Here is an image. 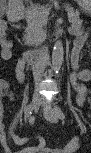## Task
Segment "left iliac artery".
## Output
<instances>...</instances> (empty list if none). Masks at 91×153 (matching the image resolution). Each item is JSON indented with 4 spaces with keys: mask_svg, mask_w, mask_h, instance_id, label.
Listing matches in <instances>:
<instances>
[{
    "mask_svg": "<svg viewBox=\"0 0 91 153\" xmlns=\"http://www.w3.org/2000/svg\"><path fill=\"white\" fill-rule=\"evenodd\" d=\"M56 112H57V115L60 119L64 120L65 119V114L63 113V111L56 106Z\"/></svg>",
    "mask_w": 91,
    "mask_h": 153,
    "instance_id": "obj_1",
    "label": "left iliac artery"
}]
</instances>
